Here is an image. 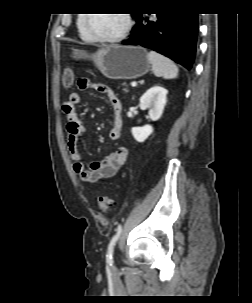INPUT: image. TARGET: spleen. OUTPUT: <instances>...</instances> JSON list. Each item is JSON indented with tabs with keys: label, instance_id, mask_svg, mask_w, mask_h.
<instances>
[{
	"label": "spleen",
	"instance_id": "3e777b00",
	"mask_svg": "<svg viewBox=\"0 0 252 303\" xmlns=\"http://www.w3.org/2000/svg\"><path fill=\"white\" fill-rule=\"evenodd\" d=\"M148 59L152 65V71L155 76L164 79H174L178 76V67L167 57L155 51H150L148 53Z\"/></svg>",
	"mask_w": 252,
	"mask_h": 303
}]
</instances>
